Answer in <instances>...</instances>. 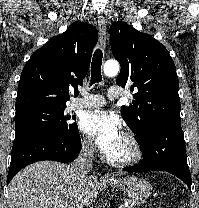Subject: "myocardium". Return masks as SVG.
<instances>
[{"instance_id":"1","label":"myocardium","mask_w":199,"mask_h":208,"mask_svg":"<svg viewBox=\"0 0 199 208\" xmlns=\"http://www.w3.org/2000/svg\"><path fill=\"white\" fill-rule=\"evenodd\" d=\"M123 137L126 140V142L132 147L133 152L130 157L125 159H114L106 155V162L115 167H129L135 165L143 157V147L138 138L131 132L124 133Z\"/></svg>"}]
</instances>
